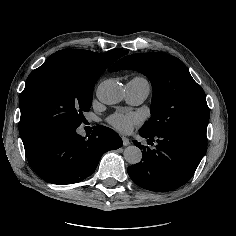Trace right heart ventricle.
Returning <instances> with one entry per match:
<instances>
[{"mask_svg":"<svg viewBox=\"0 0 236 236\" xmlns=\"http://www.w3.org/2000/svg\"><path fill=\"white\" fill-rule=\"evenodd\" d=\"M132 80L136 81L137 83H139L141 85L149 87V82L144 77H135Z\"/></svg>","mask_w":236,"mask_h":236,"instance_id":"e07e8e85","label":"right heart ventricle"}]
</instances>
